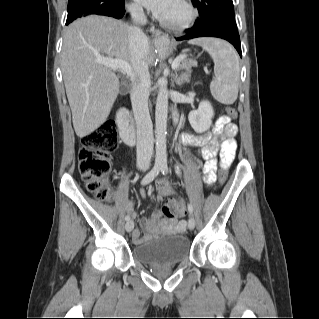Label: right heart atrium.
Wrapping results in <instances>:
<instances>
[{"label":"right heart atrium","instance_id":"right-heart-atrium-1","mask_svg":"<svg viewBox=\"0 0 319 319\" xmlns=\"http://www.w3.org/2000/svg\"><path fill=\"white\" fill-rule=\"evenodd\" d=\"M130 8L132 11L139 12L141 10L140 6L136 3H131Z\"/></svg>","mask_w":319,"mask_h":319}]
</instances>
